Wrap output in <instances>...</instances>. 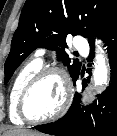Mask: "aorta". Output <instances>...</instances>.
<instances>
[{
  "instance_id": "1",
  "label": "aorta",
  "mask_w": 117,
  "mask_h": 136,
  "mask_svg": "<svg viewBox=\"0 0 117 136\" xmlns=\"http://www.w3.org/2000/svg\"><path fill=\"white\" fill-rule=\"evenodd\" d=\"M101 41L96 40V66L93 71V80L95 85L107 84L108 80V68L106 65V58L103 55V50L101 48Z\"/></svg>"
}]
</instances>
